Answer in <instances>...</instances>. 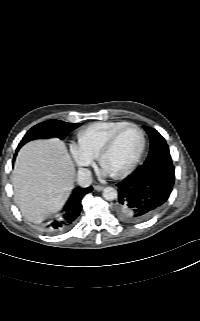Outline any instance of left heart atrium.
<instances>
[{
    "label": "left heart atrium",
    "mask_w": 200,
    "mask_h": 321,
    "mask_svg": "<svg viewBox=\"0 0 200 321\" xmlns=\"http://www.w3.org/2000/svg\"><path fill=\"white\" fill-rule=\"evenodd\" d=\"M102 173L104 175H110V173L105 168H102Z\"/></svg>",
    "instance_id": "left-heart-atrium-1"
}]
</instances>
